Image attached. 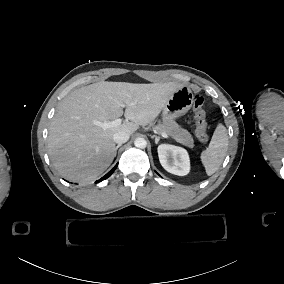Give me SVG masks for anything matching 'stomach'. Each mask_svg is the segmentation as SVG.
Instances as JSON below:
<instances>
[{"label":"stomach","instance_id":"0dacf381","mask_svg":"<svg viewBox=\"0 0 284 284\" xmlns=\"http://www.w3.org/2000/svg\"><path fill=\"white\" fill-rule=\"evenodd\" d=\"M193 105V94L188 86L176 90L163 107V117L175 118L184 115Z\"/></svg>","mask_w":284,"mask_h":284}]
</instances>
